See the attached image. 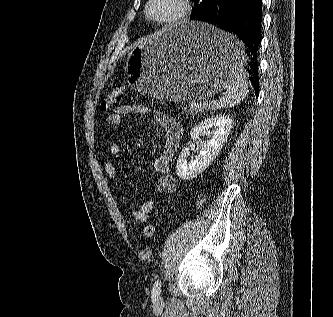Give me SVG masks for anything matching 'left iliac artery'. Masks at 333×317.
Wrapping results in <instances>:
<instances>
[{
	"label": "left iliac artery",
	"mask_w": 333,
	"mask_h": 317,
	"mask_svg": "<svg viewBox=\"0 0 333 317\" xmlns=\"http://www.w3.org/2000/svg\"><path fill=\"white\" fill-rule=\"evenodd\" d=\"M160 291H161V280H157L155 281L154 285H153V293L155 295H158L160 294Z\"/></svg>",
	"instance_id": "44dca946"
}]
</instances>
